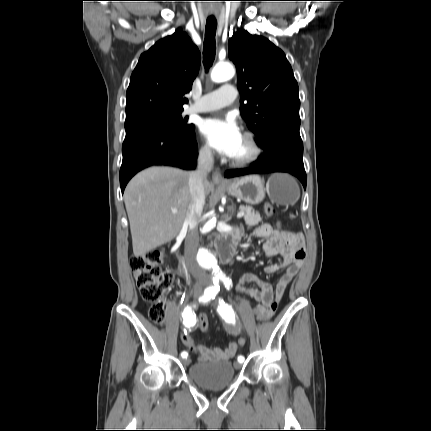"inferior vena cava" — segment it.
Listing matches in <instances>:
<instances>
[{"label": "inferior vena cava", "instance_id": "obj_1", "mask_svg": "<svg viewBox=\"0 0 431 431\" xmlns=\"http://www.w3.org/2000/svg\"><path fill=\"white\" fill-rule=\"evenodd\" d=\"M213 156L209 147H203L199 151L198 166L189 174V191L191 202L188 206L185 224L188 225V234L185 240V256L189 269L196 280L195 292L202 291V284L206 280V274L196 264L195 257L199 246L198 224L205 204V189L203 181L213 168Z\"/></svg>", "mask_w": 431, "mask_h": 431}]
</instances>
